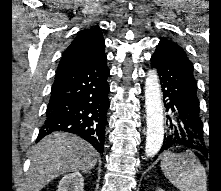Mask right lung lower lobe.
<instances>
[{
    "instance_id": "98d812e1",
    "label": "right lung lower lobe",
    "mask_w": 221,
    "mask_h": 191,
    "mask_svg": "<svg viewBox=\"0 0 221 191\" xmlns=\"http://www.w3.org/2000/svg\"><path fill=\"white\" fill-rule=\"evenodd\" d=\"M106 59L56 72L45 123L37 142L54 131L82 137L103 152L109 109Z\"/></svg>"
}]
</instances>
